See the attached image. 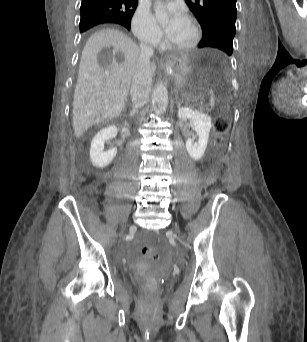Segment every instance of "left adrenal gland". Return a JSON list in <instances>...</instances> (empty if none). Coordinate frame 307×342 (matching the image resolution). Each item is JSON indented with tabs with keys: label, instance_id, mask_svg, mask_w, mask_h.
Listing matches in <instances>:
<instances>
[{
	"label": "left adrenal gland",
	"instance_id": "1",
	"mask_svg": "<svg viewBox=\"0 0 307 342\" xmlns=\"http://www.w3.org/2000/svg\"><path fill=\"white\" fill-rule=\"evenodd\" d=\"M175 104H179V102H177V100H175Z\"/></svg>",
	"mask_w": 307,
	"mask_h": 342
}]
</instances>
